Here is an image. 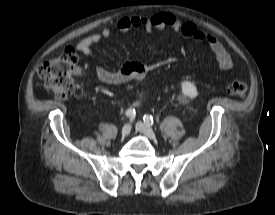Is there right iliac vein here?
<instances>
[{
	"mask_svg": "<svg viewBox=\"0 0 275 215\" xmlns=\"http://www.w3.org/2000/svg\"><path fill=\"white\" fill-rule=\"evenodd\" d=\"M131 132V125L130 124H125L122 128V136L126 137L130 134Z\"/></svg>",
	"mask_w": 275,
	"mask_h": 215,
	"instance_id": "right-iliac-vein-1",
	"label": "right iliac vein"
}]
</instances>
